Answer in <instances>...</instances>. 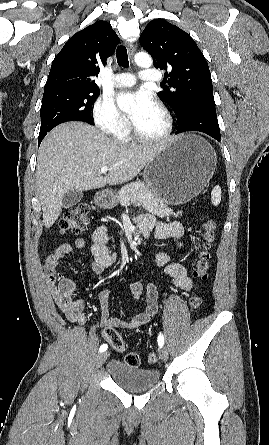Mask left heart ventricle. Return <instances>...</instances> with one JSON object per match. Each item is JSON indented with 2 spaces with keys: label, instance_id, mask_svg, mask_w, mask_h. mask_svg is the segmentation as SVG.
Returning a JSON list of instances; mask_svg holds the SVG:
<instances>
[{
  "label": "left heart ventricle",
  "instance_id": "b2bd125f",
  "mask_svg": "<svg viewBox=\"0 0 269 445\" xmlns=\"http://www.w3.org/2000/svg\"><path fill=\"white\" fill-rule=\"evenodd\" d=\"M136 128L144 135H157L164 129L165 120L159 109L155 106L138 121L134 122Z\"/></svg>",
  "mask_w": 269,
  "mask_h": 445
}]
</instances>
